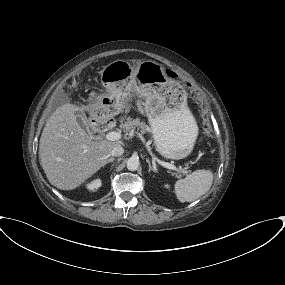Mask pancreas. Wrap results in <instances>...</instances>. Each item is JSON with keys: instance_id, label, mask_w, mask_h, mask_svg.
I'll use <instances>...</instances> for the list:
<instances>
[{"instance_id": "1", "label": "pancreas", "mask_w": 285, "mask_h": 285, "mask_svg": "<svg viewBox=\"0 0 285 285\" xmlns=\"http://www.w3.org/2000/svg\"><path fill=\"white\" fill-rule=\"evenodd\" d=\"M120 128L123 132L129 133L132 132L134 129H140L141 132H149L150 128L148 125L144 122H141L139 119H132L130 117H127L126 119L121 120ZM187 168H180L178 169V172L185 173Z\"/></svg>"}]
</instances>
